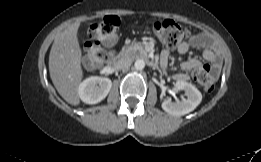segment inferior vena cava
<instances>
[{"label":"inferior vena cava","instance_id":"obj_1","mask_svg":"<svg viewBox=\"0 0 261 162\" xmlns=\"http://www.w3.org/2000/svg\"><path fill=\"white\" fill-rule=\"evenodd\" d=\"M130 66H131V60L121 59L115 63L114 68L120 70V69H128Z\"/></svg>","mask_w":261,"mask_h":162}]
</instances>
